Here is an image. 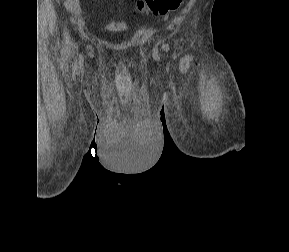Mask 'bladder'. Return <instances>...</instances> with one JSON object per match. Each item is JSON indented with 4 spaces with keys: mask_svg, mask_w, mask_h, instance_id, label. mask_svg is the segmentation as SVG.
<instances>
[{
    "mask_svg": "<svg viewBox=\"0 0 289 252\" xmlns=\"http://www.w3.org/2000/svg\"><path fill=\"white\" fill-rule=\"evenodd\" d=\"M109 30H114V28H112V27H110V28H108Z\"/></svg>",
    "mask_w": 289,
    "mask_h": 252,
    "instance_id": "bladder-1",
    "label": "bladder"
}]
</instances>
